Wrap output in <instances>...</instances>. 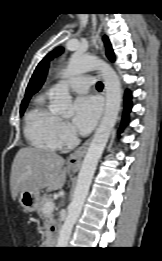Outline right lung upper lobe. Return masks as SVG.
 <instances>
[{
  "mask_svg": "<svg viewBox=\"0 0 162 261\" xmlns=\"http://www.w3.org/2000/svg\"><path fill=\"white\" fill-rule=\"evenodd\" d=\"M47 70H48V67L46 66L45 69L42 71L40 77L36 80V82H34L32 85L28 86V88L26 89V94H25L26 97L23 99V101L30 100L31 96L33 94H35L41 88V86L43 85L44 80L46 78Z\"/></svg>",
  "mask_w": 162,
  "mask_h": 261,
  "instance_id": "1",
  "label": "right lung upper lobe"
}]
</instances>
